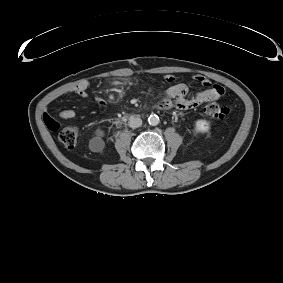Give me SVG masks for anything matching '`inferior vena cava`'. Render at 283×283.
I'll return each instance as SVG.
<instances>
[{
	"mask_svg": "<svg viewBox=\"0 0 283 283\" xmlns=\"http://www.w3.org/2000/svg\"><path fill=\"white\" fill-rule=\"evenodd\" d=\"M128 125L133 129L138 128L142 125V120L138 117H131L129 119Z\"/></svg>",
	"mask_w": 283,
	"mask_h": 283,
	"instance_id": "602c4592",
	"label": "inferior vena cava"
}]
</instances>
